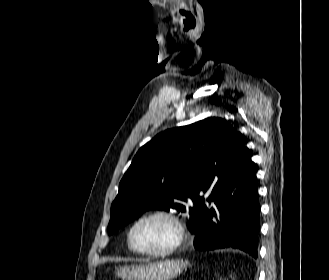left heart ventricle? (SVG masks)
Returning a JSON list of instances; mask_svg holds the SVG:
<instances>
[{
	"label": "left heart ventricle",
	"mask_w": 329,
	"mask_h": 280,
	"mask_svg": "<svg viewBox=\"0 0 329 280\" xmlns=\"http://www.w3.org/2000/svg\"><path fill=\"white\" fill-rule=\"evenodd\" d=\"M175 237L173 226L165 219L154 218L140 223L133 233L138 249L160 250L168 247Z\"/></svg>",
	"instance_id": "obj_1"
}]
</instances>
